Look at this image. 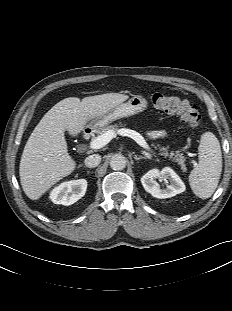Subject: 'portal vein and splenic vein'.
Masks as SVG:
<instances>
[{
	"instance_id": "obj_1",
	"label": "portal vein and splenic vein",
	"mask_w": 232,
	"mask_h": 311,
	"mask_svg": "<svg viewBox=\"0 0 232 311\" xmlns=\"http://www.w3.org/2000/svg\"><path fill=\"white\" fill-rule=\"evenodd\" d=\"M117 133L121 136H127V137L132 138L141 147H143L147 151H151V148L145 141L144 137L138 132L131 130V129L122 128V129H119ZM115 136H116V131L109 130L105 132L104 134L98 136L94 140H92L89 147L90 149H93V150L100 149L104 147L106 144H108ZM194 164L196 163L194 162Z\"/></svg>"
}]
</instances>
